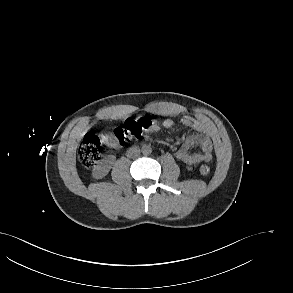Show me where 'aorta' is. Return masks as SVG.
Listing matches in <instances>:
<instances>
[{
    "label": "aorta",
    "mask_w": 293,
    "mask_h": 293,
    "mask_svg": "<svg viewBox=\"0 0 293 293\" xmlns=\"http://www.w3.org/2000/svg\"><path fill=\"white\" fill-rule=\"evenodd\" d=\"M151 152H152V148L150 145H143L142 146V153L144 155H149V154H151Z\"/></svg>",
    "instance_id": "aorta-1"
}]
</instances>
